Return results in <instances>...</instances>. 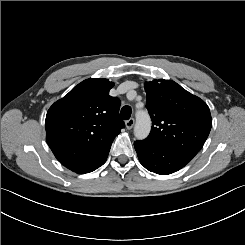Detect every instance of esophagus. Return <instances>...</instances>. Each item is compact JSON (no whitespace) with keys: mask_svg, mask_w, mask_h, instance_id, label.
<instances>
[{"mask_svg":"<svg viewBox=\"0 0 245 245\" xmlns=\"http://www.w3.org/2000/svg\"><path fill=\"white\" fill-rule=\"evenodd\" d=\"M134 123H135L134 118H129V119L126 120V122H125L126 128H127L128 130L132 129L133 126H134Z\"/></svg>","mask_w":245,"mask_h":245,"instance_id":"obj_1","label":"esophagus"}]
</instances>
